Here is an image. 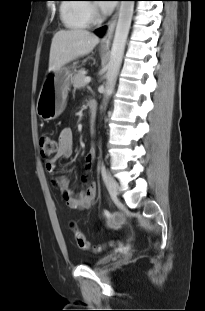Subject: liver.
<instances>
[{
	"label": "liver",
	"mask_w": 205,
	"mask_h": 311,
	"mask_svg": "<svg viewBox=\"0 0 205 311\" xmlns=\"http://www.w3.org/2000/svg\"><path fill=\"white\" fill-rule=\"evenodd\" d=\"M99 43V38L83 29L60 30L51 43L49 71H57L75 58L88 55Z\"/></svg>",
	"instance_id": "obj_1"
}]
</instances>
